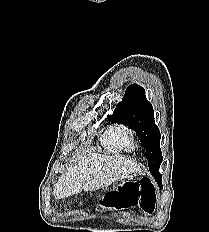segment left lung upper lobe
<instances>
[{"label":"left lung upper lobe","mask_w":209,"mask_h":232,"mask_svg":"<svg viewBox=\"0 0 209 232\" xmlns=\"http://www.w3.org/2000/svg\"><path fill=\"white\" fill-rule=\"evenodd\" d=\"M109 119L134 130L147 151L149 171L161 185L159 168L162 162L160 131L154 121V111L146 99L145 90L137 84L130 85Z\"/></svg>","instance_id":"obj_1"}]
</instances>
